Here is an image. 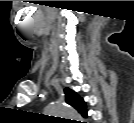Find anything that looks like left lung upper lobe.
<instances>
[{
	"mask_svg": "<svg viewBox=\"0 0 134 123\" xmlns=\"http://www.w3.org/2000/svg\"><path fill=\"white\" fill-rule=\"evenodd\" d=\"M66 103L73 106L76 110H78L84 117L87 116V110L85 102L82 98H80L74 91L69 88L64 89Z\"/></svg>",
	"mask_w": 134,
	"mask_h": 123,
	"instance_id": "5c2ea615",
	"label": "left lung upper lobe"
}]
</instances>
